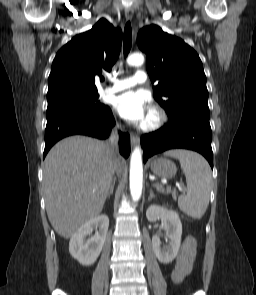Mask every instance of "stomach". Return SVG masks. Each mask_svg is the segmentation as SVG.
Segmentation results:
<instances>
[{"label":"stomach","mask_w":256,"mask_h":295,"mask_svg":"<svg viewBox=\"0 0 256 295\" xmlns=\"http://www.w3.org/2000/svg\"><path fill=\"white\" fill-rule=\"evenodd\" d=\"M152 172L161 178H171L176 174L175 164L166 158H156L150 164Z\"/></svg>","instance_id":"1"}]
</instances>
